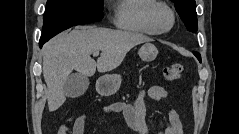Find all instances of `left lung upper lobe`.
Listing matches in <instances>:
<instances>
[{"mask_svg":"<svg viewBox=\"0 0 239 134\" xmlns=\"http://www.w3.org/2000/svg\"><path fill=\"white\" fill-rule=\"evenodd\" d=\"M172 2H174L176 10L187 29L196 33L198 30V23L196 18L195 0H172ZM198 60L201 62V58Z\"/></svg>","mask_w":239,"mask_h":134,"instance_id":"5c2ea615","label":"left lung upper lobe"}]
</instances>
